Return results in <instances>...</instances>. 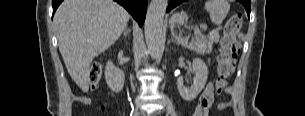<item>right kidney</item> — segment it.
Listing matches in <instances>:
<instances>
[{"instance_id":"ca27d5eb","label":"right kidney","mask_w":305,"mask_h":116,"mask_svg":"<svg viewBox=\"0 0 305 116\" xmlns=\"http://www.w3.org/2000/svg\"><path fill=\"white\" fill-rule=\"evenodd\" d=\"M105 80L108 87L116 93H119L124 86L125 75L111 61H108L105 67Z\"/></svg>"}]
</instances>
